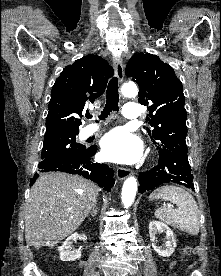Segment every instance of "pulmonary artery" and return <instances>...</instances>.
<instances>
[{"instance_id":"1","label":"pulmonary artery","mask_w":221,"mask_h":276,"mask_svg":"<svg viewBox=\"0 0 221 276\" xmlns=\"http://www.w3.org/2000/svg\"><path fill=\"white\" fill-rule=\"evenodd\" d=\"M124 116L128 119H138L140 117V109L137 104L128 103L124 107ZM99 129V126L89 125L83 130V136L88 137L94 134Z\"/></svg>"}]
</instances>
